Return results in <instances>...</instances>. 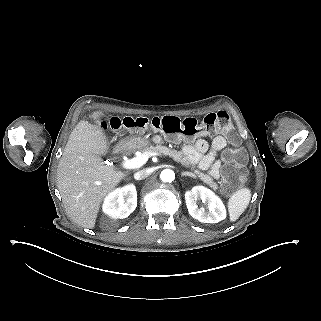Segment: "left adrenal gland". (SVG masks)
<instances>
[{
  "instance_id": "obj_1",
  "label": "left adrenal gland",
  "mask_w": 321,
  "mask_h": 321,
  "mask_svg": "<svg viewBox=\"0 0 321 321\" xmlns=\"http://www.w3.org/2000/svg\"><path fill=\"white\" fill-rule=\"evenodd\" d=\"M181 175H182V176H190V177H192V178H196V176H195L193 173L187 172V171L182 172Z\"/></svg>"
}]
</instances>
